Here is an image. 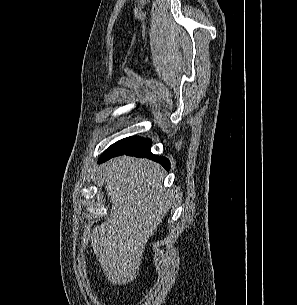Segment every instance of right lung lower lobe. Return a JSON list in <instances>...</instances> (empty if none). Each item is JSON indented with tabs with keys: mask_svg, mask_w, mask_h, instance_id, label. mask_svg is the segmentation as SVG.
<instances>
[{
	"mask_svg": "<svg viewBox=\"0 0 297 305\" xmlns=\"http://www.w3.org/2000/svg\"><path fill=\"white\" fill-rule=\"evenodd\" d=\"M151 140L148 138H142L140 141L132 146L123 148H108L99 158V163L105 162L112 157L119 155H129L135 157H146L159 162L165 169L169 170L170 162L167 158L162 156H156L150 151Z\"/></svg>",
	"mask_w": 297,
	"mask_h": 305,
	"instance_id": "98d812e1",
	"label": "right lung lower lobe"
}]
</instances>
